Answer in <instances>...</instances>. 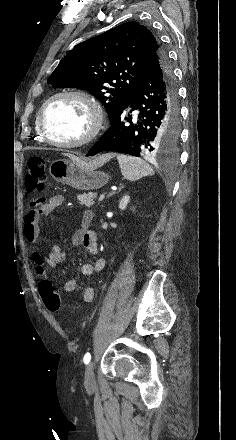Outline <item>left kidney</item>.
Here are the masks:
<instances>
[{"mask_svg":"<svg viewBox=\"0 0 236 440\" xmlns=\"http://www.w3.org/2000/svg\"><path fill=\"white\" fill-rule=\"evenodd\" d=\"M129 201H130V196H128V195L123 196L122 199L120 200L119 208L121 210H125Z\"/></svg>","mask_w":236,"mask_h":440,"instance_id":"5707ae66","label":"left kidney"}]
</instances>
